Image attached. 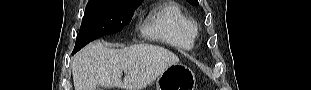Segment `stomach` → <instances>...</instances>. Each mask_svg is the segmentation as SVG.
I'll return each instance as SVG.
<instances>
[{"instance_id":"obj_1","label":"stomach","mask_w":311,"mask_h":90,"mask_svg":"<svg viewBox=\"0 0 311 90\" xmlns=\"http://www.w3.org/2000/svg\"><path fill=\"white\" fill-rule=\"evenodd\" d=\"M195 75L183 64H174L162 72L156 81V90H194Z\"/></svg>"}]
</instances>
